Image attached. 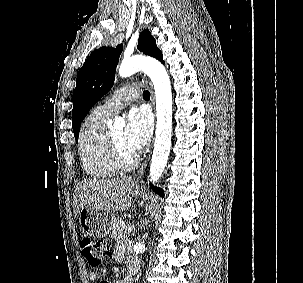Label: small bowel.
<instances>
[{
  "label": "small bowel",
  "mask_w": 303,
  "mask_h": 283,
  "mask_svg": "<svg viewBox=\"0 0 303 283\" xmlns=\"http://www.w3.org/2000/svg\"><path fill=\"white\" fill-rule=\"evenodd\" d=\"M126 247H127L126 243H124V242L118 243L111 253L112 259L115 261H121L124 258ZM97 278H98V275L96 272H91L89 274L90 281L95 282L97 280ZM116 283H131V278L126 275L123 278L117 280Z\"/></svg>",
  "instance_id": "obj_1"
}]
</instances>
